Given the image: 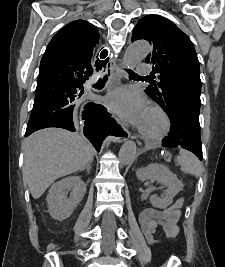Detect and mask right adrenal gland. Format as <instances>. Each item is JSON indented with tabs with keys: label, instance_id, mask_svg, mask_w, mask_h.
<instances>
[{
	"label": "right adrenal gland",
	"instance_id": "1",
	"mask_svg": "<svg viewBox=\"0 0 225 267\" xmlns=\"http://www.w3.org/2000/svg\"><path fill=\"white\" fill-rule=\"evenodd\" d=\"M82 170H86L88 174H90V170H91V163L87 164V166L82 169Z\"/></svg>",
	"mask_w": 225,
	"mask_h": 267
}]
</instances>
